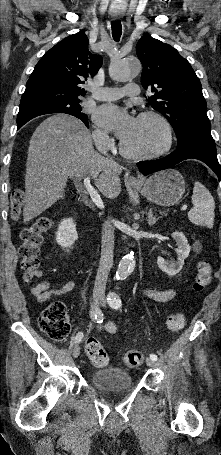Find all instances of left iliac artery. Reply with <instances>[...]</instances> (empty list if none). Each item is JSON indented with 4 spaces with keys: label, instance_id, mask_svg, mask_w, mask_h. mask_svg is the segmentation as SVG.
Masks as SVG:
<instances>
[{
    "label": "left iliac artery",
    "instance_id": "left-iliac-artery-1",
    "mask_svg": "<svg viewBox=\"0 0 221 455\" xmlns=\"http://www.w3.org/2000/svg\"><path fill=\"white\" fill-rule=\"evenodd\" d=\"M107 302L109 306L114 309H118L122 306V301L118 294H116L115 292H109V294L107 295ZM150 358L154 361L158 359L157 355L155 354H150Z\"/></svg>",
    "mask_w": 221,
    "mask_h": 455
}]
</instances>
